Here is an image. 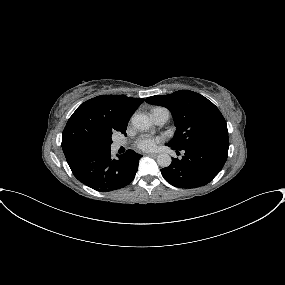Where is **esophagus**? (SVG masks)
<instances>
[{"instance_id":"1","label":"esophagus","mask_w":285,"mask_h":285,"mask_svg":"<svg viewBox=\"0 0 285 285\" xmlns=\"http://www.w3.org/2000/svg\"><path fill=\"white\" fill-rule=\"evenodd\" d=\"M148 156L156 157L158 154L157 153H147Z\"/></svg>"}]
</instances>
